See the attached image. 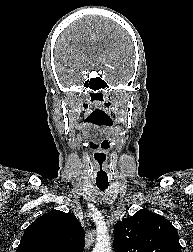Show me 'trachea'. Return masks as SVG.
I'll return each mask as SVG.
<instances>
[{"label": "trachea", "instance_id": "trachea-1", "mask_svg": "<svg viewBox=\"0 0 193 252\" xmlns=\"http://www.w3.org/2000/svg\"><path fill=\"white\" fill-rule=\"evenodd\" d=\"M97 187H98L100 190L104 191V190H106V189L108 188V183H105V184L97 183Z\"/></svg>", "mask_w": 193, "mask_h": 252}]
</instances>
